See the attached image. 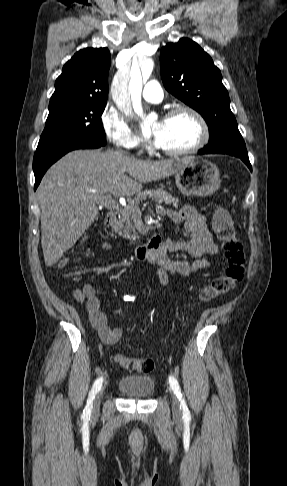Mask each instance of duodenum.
I'll return each instance as SVG.
<instances>
[{
  "label": "duodenum",
  "mask_w": 287,
  "mask_h": 486,
  "mask_svg": "<svg viewBox=\"0 0 287 486\" xmlns=\"http://www.w3.org/2000/svg\"><path fill=\"white\" fill-rule=\"evenodd\" d=\"M115 222L116 213L113 211L108 212L105 217V226L108 229H112ZM161 244V236L159 234H154L147 243L134 247L133 254L138 260H147L159 251Z\"/></svg>",
  "instance_id": "duodenum-1"
}]
</instances>
